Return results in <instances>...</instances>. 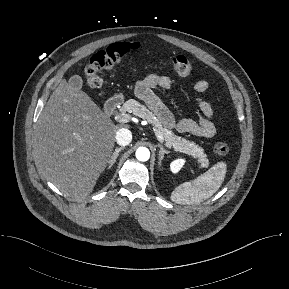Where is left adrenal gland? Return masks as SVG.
Segmentation results:
<instances>
[{"label":"left adrenal gland","mask_w":289,"mask_h":289,"mask_svg":"<svg viewBox=\"0 0 289 289\" xmlns=\"http://www.w3.org/2000/svg\"><path fill=\"white\" fill-rule=\"evenodd\" d=\"M158 147L160 148V151H159V166H161V162L164 158V155L165 154H169V151L167 149H165L162 145H158Z\"/></svg>","instance_id":"obj_1"}]
</instances>
